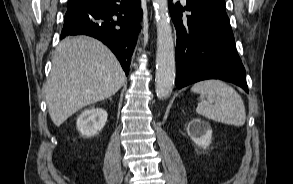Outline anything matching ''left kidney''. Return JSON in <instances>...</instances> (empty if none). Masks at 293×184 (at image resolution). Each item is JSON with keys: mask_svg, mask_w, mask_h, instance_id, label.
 I'll return each mask as SVG.
<instances>
[{"mask_svg": "<svg viewBox=\"0 0 293 184\" xmlns=\"http://www.w3.org/2000/svg\"><path fill=\"white\" fill-rule=\"evenodd\" d=\"M187 133L199 147L206 148L212 141V129L208 122L192 119L187 126Z\"/></svg>", "mask_w": 293, "mask_h": 184, "instance_id": "5707ae66", "label": "left kidney"}]
</instances>
